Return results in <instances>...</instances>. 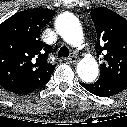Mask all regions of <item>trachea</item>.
<instances>
[{
  "instance_id": "trachea-1",
  "label": "trachea",
  "mask_w": 127,
  "mask_h": 127,
  "mask_svg": "<svg viewBox=\"0 0 127 127\" xmlns=\"http://www.w3.org/2000/svg\"><path fill=\"white\" fill-rule=\"evenodd\" d=\"M58 58L60 57H68L69 56V49L67 47H61L58 51Z\"/></svg>"
}]
</instances>
